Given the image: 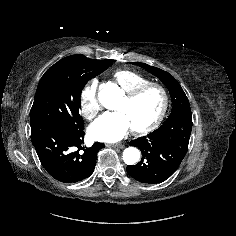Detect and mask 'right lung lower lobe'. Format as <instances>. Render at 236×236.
I'll use <instances>...</instances> for the list:
<instances>
[{
  "label": "right lung lower lobe",
  "mask_w": 236,
  "mask_h": 236,
  "mask_svg": "<svg viewBox=\"0 0 236 236\" xmlns=\"http://www.w3.org/2000/svg\"><path fill=\"white\" fill-rule=\"evenodd\" d=\"M84 127L73 130L58 123L31 122V140L45 170L56 180L75 183L89 177L103 143L84 147Z\"/></svg>",
  "instance_id": "1"
}]
</instances>
